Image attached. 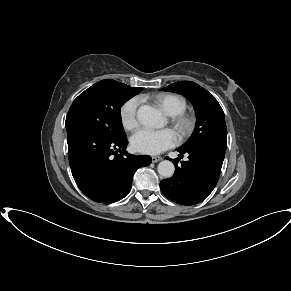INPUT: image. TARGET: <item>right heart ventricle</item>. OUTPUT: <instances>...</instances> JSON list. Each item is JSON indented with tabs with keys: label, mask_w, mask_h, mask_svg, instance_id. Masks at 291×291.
Instances as JSON below:
<instances>
[{
	"label": "right heart ventricle",
	"mask_w": 291,
	"mask_h": 291,
	"mask_svg": "<svg viewBox=\"0 0 291 291\" xmlns=\"http://www.w3.org/2000/svg\"><path fill=\"white\" fill-rule=\"evenodd\" d=\"M152 98L155 104L169 116L181 113L187 107L185 98L175 93H158Z\"/></svg>",
	"instance_id": "obj_1"
}]
</instances>
